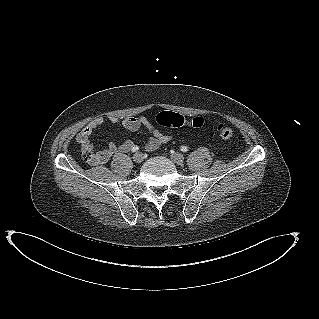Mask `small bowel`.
Wrapping results in <instances>:
<instances>
[{"label":"small bowel","instance_id":"small-bowel-1","mask_svg":"<svg viewBox=\"0 0 319 319\" xmlns=\"http://www.w3.org/2000/svg\"><path fill=\"white\" fill-rule=\"evenodd\" d=\"M108 120L112 124H117L120 119L117 116H110ZM105 119L103 117H97L88 123L76 137L77 142L81 146L83 153H90L92 159L89 161L93 165H103L106 164L112 156L115 154H125L132 150L134 143L131 140H126L121 144H116L114 142L109 143L105 148L100 150H95L93 144L91 143V137L94 131L103 125ZM122 125L125 129L129 131H140L147 133L149 138L145 146L147 151H154L160 145L168 143L172 140L171 134H165L154 128V126L143 116H130L122 120Z\"/></svg>","mask_w":319,"mask_h":319}]
</instances>
